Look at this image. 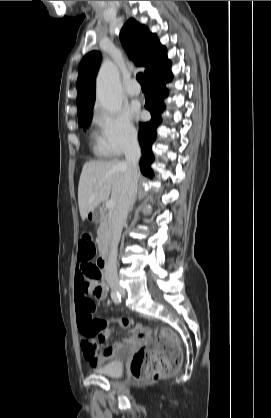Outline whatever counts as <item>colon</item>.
Instances as JSON below:
<instances>
[{
    "label": "colon",
    "instance_id": "1",
    "mask_svg": "<svg viewBox=\"0 0 271 418\" xmlns=\"http://www.w3.org/2000/svg\"><path fill=\"white\" fill-rule=\"evenodd\" d=\"M95 253L96 246L91 234L83 232L79 239L78 260L90 261ZM181 361L177 337L170 330L162 328L134 354L130 369L137 379H160L177 372Z\"/></svg>",
    "mask_w": 271,
    "mask_h": 418
}]
</instances>
